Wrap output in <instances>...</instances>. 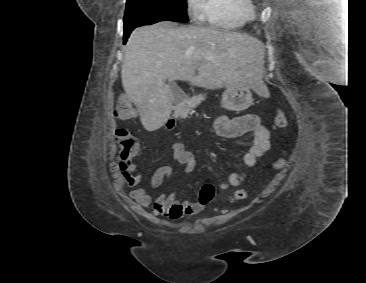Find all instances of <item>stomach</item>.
Segmentation results:
<instances>
[{"label":"stomach","instance_id":"1","mask_svg":"<svg viewBox=\"0 0 366 283\" xmlns=\"http://www.w3.org/2000/svg\"><path fill=\"white\" fill-rule=\"evenodd\" d=\"M240 97L245 99L242 104L243 108L251 105L253 99L249 85L242 82L228 84L226 85V90L223 94L221 106L228 110H240L242 108L235 104V100Z\"/></svg>","mask_w":366,"mask_h":283}]
</instances>
